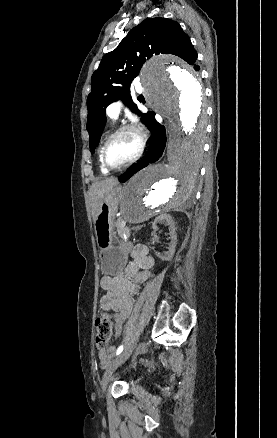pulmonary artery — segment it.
<instances>
[{
  "instance_id": "obj_1",
  "label": "pulmonary artery",
  "mask_w": 277,
  "mask_h": 438,
  "mask_svg": "<svg viewBox=\"0 0 277 438\" xmlns=\"http://www.w3.org/2000/svg\"><path fill=\"white\" fill-rule=\"evenodd\" d=\"M139 84L140 80H132L130 86H139ZM123 108L124 106L121 101L111 103L106 109L107 117L111 120L118 119L122 114Z\"/></svg>"
}]
</instances>
